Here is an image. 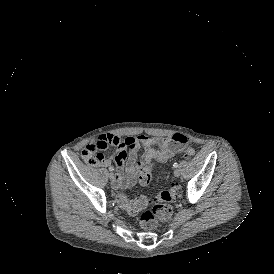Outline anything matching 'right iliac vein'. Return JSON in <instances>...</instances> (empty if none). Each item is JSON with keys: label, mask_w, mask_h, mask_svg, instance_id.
<instances>
[{"label": "right iliac vein", "mask_w": 274, "mask_h": 274, "mask_svg": "<svg viewBox=\"0 0 274 274\" xmlns=\"http://www.w3.org/2000/svg\"><path fill=\"white\" fill-rule=\"evenodd\" d=\"M108 176H109V179L111 180L112 184L115 185L116 184L115 174L113 172H111Z\"/></svg>", "instance_id": "63e3f726"}]
</instances>
